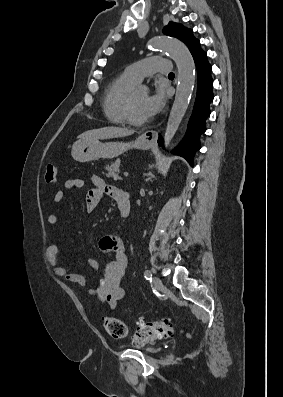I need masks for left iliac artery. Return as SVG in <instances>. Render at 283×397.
Listing matches in <instances>:
<instances>
[{
  "mask_svg": "<svg viewBox=\"0 0 283 397\" xmlns=\"http://www.w3.org/2000/svg\"><path fill=\"white\" fill-rule=\"evenodd\" d=\"M144 277L146 280H152V272L150 270H146L144 273Z\"/></svg>",
  "mask_w": 283,
  "mask_h": 397,
  "instance_id": "obj_1",
  "label": "left iliac artery"
}]
</instances>
